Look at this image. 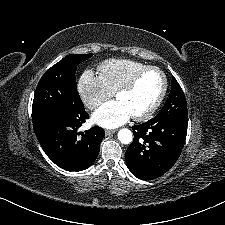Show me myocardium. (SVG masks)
<instances>
[{"label": "myocardium", "instance_id": "obj_1", "mask_svg": "<svg viewBox=\"0 0 225 225\" xmlns=\"http://www.w3.org/2000/svg\"><path fill=\"white\" fill-rule=\"evenodd\" d=\"M148 71H156L157 73L160 74L161 79H162L161 90H160L159 95L157 96L156 100L154 101L152 106L147 111H145L142 114L133 116V119L135 121H144V120L149 119L150 117H152L154 115V113L159 108L160 104L162 103V101L164 99L166 91H167V78H166L165 73L159 67L145 66L144 68L138 70L135 74H133L132 77L125 84H123L121 87H119L114 93V96L117 98V96L119 94L131 91L134 88V86L136 85V83L138 82V80L140 79V77Z\"/></svg>", "mask_w": 225, "mask_h": 225}]
</instances>
